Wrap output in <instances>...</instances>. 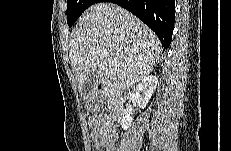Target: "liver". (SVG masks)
I'll list each match as a JSON object with an SVG mask.
<instances>
[{
	"label": "liver",
	"instance_id": "1",
	"mask_svg": "<svg viewBox=\"0 0 231 151\" xmlns=\"http://www.w3.org/2000/svg\"><path fill=\"white\" fill-rule=\"evenodd\" d=\"M102 51L107 52L104 58ZM161 52V42L148 26L108 2L91 6L80 17L69 44L71 67L80 92L92 72L117 92L130 88L152 72ZM109 59L117 64H110Z\"/></svg>",
	"mask_w": 231,
	"mask_h": 151
}]
</instances>
